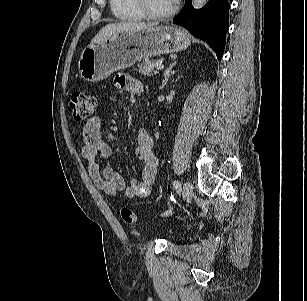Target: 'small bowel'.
Here are the masks:
<instances>
[{
  "label": "small bowel",
  "mask_w": 307,
  "mask_h": 301,
  "mask_svg": "<svg viewBox=\"0 0 307 301\" xmlns=\"http://www.w3.org/2000/svg\"><path fill=\"white\" fill-rule=\"evenodd\" d=\"M116 85L129 93H139L143 90L139 80L125 74L117 76ZM82 138L81 155L88 162L89 176L100 191L110 196L124 191L129 198L144 197L150 193L158 169V159L154 153L153 140L145 129L138 130L135 148V156L143 164L141 177H132L128 185L119 173L111 168H102L98 163L99 159L107 158L111 154L110 145L102 137L98 117H93L85 123Z\"/></svg>",
  "instance_id": "1"
}]
</instances>
